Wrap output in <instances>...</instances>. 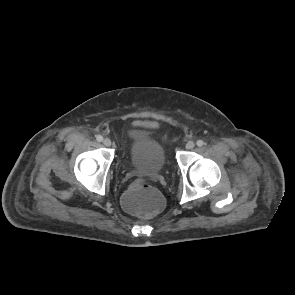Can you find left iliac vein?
Returning <instances> with one entry per match:
<instances>
[{
    "label": "left iliac vein",
    "mask_w": 295,
    "mask_h": 295,
    "mask_svg": "<svg viewBox=\"0 0 295 295\" xmlns=\"http://www.w3.org/2000/svg\"><path fill=\"white\" fill-rule=\"evenodd\" d=\"M185 147L186 149L191 150L195 147V143L193 141H188Z\"/></svg>",
    "instance_id": "left-iliac-vein-1"
}]
</instances>
